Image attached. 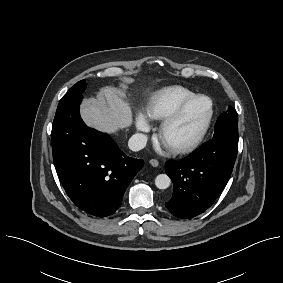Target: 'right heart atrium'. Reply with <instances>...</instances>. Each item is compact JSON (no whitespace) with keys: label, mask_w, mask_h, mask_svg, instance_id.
Returning <instances> with one entry per match:
<instances>
[{"label":"right heart atrium","mask_w":283,"mask_h":283,"mask_svg":"<svg viewBox=\"0 0 283 283\" xmlns=\"http://www.w3.org/2000/svg\"><path fill=\"white\" fill-rule=\"evenodd\" d=\"M136 125L137 128L142 132H147L150 128L149 123L143 117L137 118Z\"/></svg>","instance_id":"1"}]
</instances>
